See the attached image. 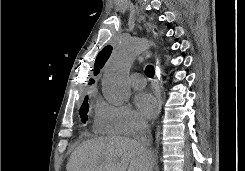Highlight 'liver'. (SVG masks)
<instances>
[{
    "label": "liver",
    "mask_w": 245,
    "mask_h": 171,
    "mask_svg": "<svg viewBox=\"0 0 245 171\" xmlns=\"http://www.w3.org/2000/svg\"><path fill=\"white\" fill-rule=\"evenodd\" d=\"M154 160L141 152L136 141L124 137L87 140L71 154L67 171H153Z\"/></svg>",
    "instance_id": "liver-1"
}]
</instances>
